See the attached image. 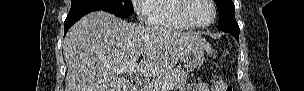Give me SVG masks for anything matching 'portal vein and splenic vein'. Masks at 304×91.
<instances>
[{"label": "portal vein and splenic vein", "mask_w": 304, "mask_h": 91, "mask_svg": "<svg viewBox=\"0 0 304 91\" xmlns=\"http://www.w3.org/2000/svg\"><path fill=\"white\" fill-rule=\"evenodd\" d=\"M136 68H137V64L133 63V64H130L127 66H123L122 68L117 70V73L118 74H122V73L135 74L138 77ZM150 86H152L156 91H167L168 89L171 88L167 83H163L159 80H155V81L151 82Z\"/></svg>", "instance_id": "18ae733b"}]
</instances>
